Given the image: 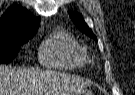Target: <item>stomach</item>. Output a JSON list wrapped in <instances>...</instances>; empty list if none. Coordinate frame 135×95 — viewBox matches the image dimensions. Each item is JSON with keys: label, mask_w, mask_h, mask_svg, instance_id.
I'll return each mask as SVG.
<instances>
[{"label": "stomach", "mask_w": 135, "mask_h": 95, "mask_svg": "<svg viewBox=\"0 0 135 95\" xmlns=\"http://www.w3.org/2000/svg\"><path fill=\"white\" fill-rule=\"evenodd\" d=\"M77 95H94V94L89 90H83L80 94Z\"/></svg>", "instance_id": "0dacf381"}]
</instances>
